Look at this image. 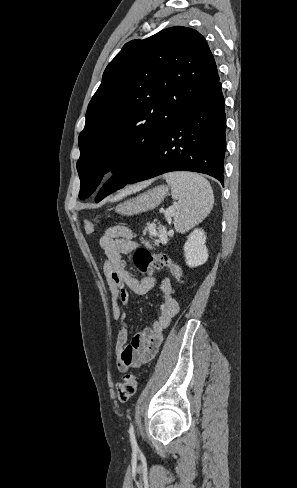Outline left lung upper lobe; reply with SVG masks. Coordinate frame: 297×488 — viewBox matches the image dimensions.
I'll use <instances>...</instances> for the list:
<instances>
[{
  "label": "left lung upper lobe",
  "instance_id": "5c2ea615",
  "mask_svg": "<svg viewBox=\"0 0 297 488\" xmlns=\"http://www.w3.org/2000/svg\"><path fill=\"white\" fill-rule=\"evenodd\" d=\"M219 82L204 37L170 27L126 43L106 67L89 102L78 138L79 198L89 197L104 174L115 175L96 202L124 187L176 122Z\"/></svg>",
  "mask_w": 297,
  "mask_h": 488
}]
</instances>
